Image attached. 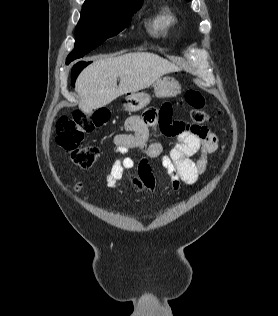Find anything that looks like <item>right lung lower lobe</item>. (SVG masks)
<instances>
[{"label":"right lung lower lobe","mask_w":278,"mask_h":316,"mask_svg":"<svg viewBox=\"0 0 278 316\" xmlns=\"http://www.w3.org/2000/svg\"><path fill=\"white\" fill-rule=\"evenodd\" d=\"M76 75H77V73H75V74L73 73V77H75Z\"/></svg>","instance_id":"obj_1"}]
</instances>
